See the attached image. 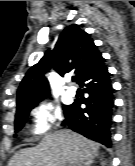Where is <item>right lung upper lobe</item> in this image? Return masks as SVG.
<instances>
[{"mask_svg": "<svg viewBox=\"0 0 135 166\" xmlns=\"http://www.w3.org/2000/svg\"><path fill=\"white\" fill-rule=\"evenodd\" d=\"M102 59L89 34L78 25L67 26L54 49L47 51L26 73L17 91L16 108L38 103L50 95L48 81L44 77V73L50 68H54L61 76L74 70L79 79Z\"/></svg>", "mask_w": 135, "mask_h": 166, "instance_id": "right-lung-upper-lobe-1", "label": "right lung upper lobe"}]
</instances>
